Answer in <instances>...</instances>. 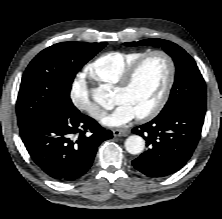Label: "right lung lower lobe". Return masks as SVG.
<instances>
[{"mask_svg": "<svg viewBox=\"0 0 222 219\" xmlns=\"http://www.w3.org/2000/svg\"><path fill=\"white\" fill-rule=\"evenodd\" d=\"M87 130L91 135H87ZM24 145L33 161L49 177L69 182L84 175L91 167L101 142L112 132L74 106H60L24 129Z\"/></svg>", "mask_w": 222, "mask_h": 219, "instance_id": "98d812e1", "label": "right lung lower lobe"}]
</instances>
